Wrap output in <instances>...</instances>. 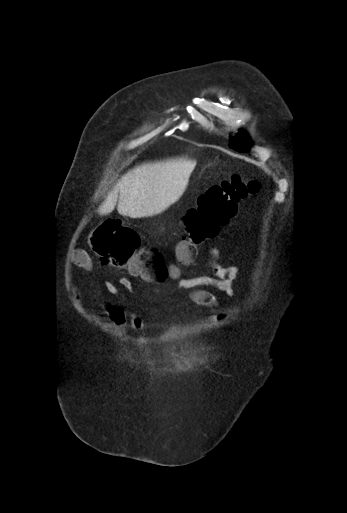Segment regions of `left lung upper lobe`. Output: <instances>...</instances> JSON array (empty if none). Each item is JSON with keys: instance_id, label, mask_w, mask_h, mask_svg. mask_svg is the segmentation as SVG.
<instances>
[{"instance_id": "left-lung-upper-lobe-1", "label": "left lung upper lobe", "mask_w": 347, "mask_h": 513, "mask_svg": "<svg viewBox=\"0 0 347 513\" xmlns=\"http://www.w3.org/2000/svg\"><path fill=\"white\" fill-rule=\"evenodd\" d=\"M248 143H249V141L244 136L243 138H239L238 140H235V143L231 144L230 147L237 151L246 152V151H248Z\"/></svg>"}]
</instances>
